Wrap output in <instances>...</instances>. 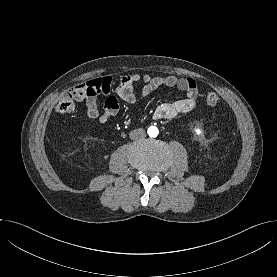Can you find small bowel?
Returning a JSON list of instances; mask_svg holds the SVG:
<instances>
[{
	"label": "small bowel",
	"instance_id": "small-bowel-1",
	"mask_svg": "<svg viewBox=\"0 0 277 277\" xmlns=\"http://www.w3.org/2000/svg\"><path fill=\"white\" fill-rule=\"evenodd\" d=\"M137 84L143 85L139 96L134 91ZM113 85L114 79L111 76L98 77L83 84L85 93L79 100L85 101L86 113L90 119L104 124L110 117L117 114L119 110L118 99L110 94ZM162 86L177 88L184 92L186 97L172 103L158 105L153 113L154 119L171 120L180 114L191 111L195 107L198 88L196 82L191 78H179L173 75L150 76L127 74L120 77L115 91L117 96L124 102L135 104ZM101 95L105 97L102 111L99 106V97Z\"/></svg>",
	"mask_w": 277,
	"mask_h": 277
}]
</instances>
